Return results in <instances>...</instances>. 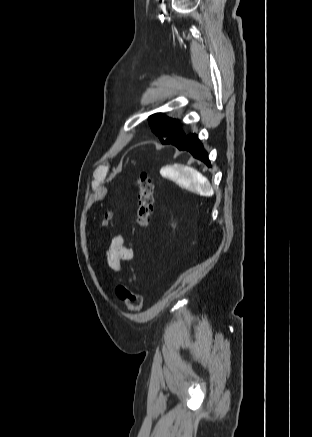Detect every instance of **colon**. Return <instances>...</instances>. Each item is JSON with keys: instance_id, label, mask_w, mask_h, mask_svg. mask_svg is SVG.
<instances>
[{"instance_id": "5ec220e1", "label": "colon", "mask_w": 312, "mask_h": 437, "mask_svg": "<svg viewBox=\"0 0 312 437\" xmlns=\"http://www.w3.org/2000/svg\"><path fill=\"white\" fill-rule=\"evenodd\" d=\"M134 184L138 192L137 222L141 228H147L154 208L153 183L148 173L140 172ZM110 220L111 216H106L103 224H108ZM116 294L130 311L137 312L141 310L143 305L142 296L134 292L129 286L119 284L116 287Z\"/></svg>"}]
</instances>
